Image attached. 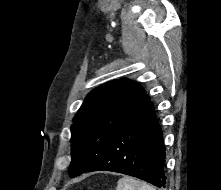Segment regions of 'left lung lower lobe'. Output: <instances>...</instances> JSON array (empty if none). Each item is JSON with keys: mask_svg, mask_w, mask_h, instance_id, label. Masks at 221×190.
Instances as JSON below:
<instances>
[{"mask_svg": "<svg viewBox=\"0 0 221 190\" xmlns=\"http://www.w3.org/2000/svg\"><path fill=\"white\" fill-rule=\"evenodd\" d=\"M163 133L153 103L126 121L88 171H113L166 184Z\"/></svg>", "mask_w": 221, "mask_h": 190, "instance_id": "0a47b994", "label": "left lung lower lobe"}]
</instances>
